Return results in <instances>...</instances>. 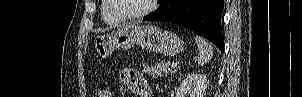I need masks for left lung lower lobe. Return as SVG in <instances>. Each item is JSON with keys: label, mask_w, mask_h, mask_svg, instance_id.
<instances>
[{"label": "left lung lower lobe", "mask_w": 302, "mask_h": 97, "mask_svg": "<svg viewBox=\"0 0 302 97\" xmlns=\"http://www.w3.org/2000/svg\"><path fill=\"white\" fill-rule=\"evenodd\" d=\"M224 0H161L156 11L144 21H163L180 24L207 38L224 52L221 17Z\"/></svg>", "instance_id": "left-lung-lower-lobe-1"}]
</instances>
